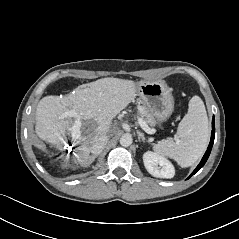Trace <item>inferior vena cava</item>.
<instances>
[{"label": "inferior vena cava", "mask_w": 239, "mask_h": 239, "mask_svg": "<svg viewBox=\"0 0 239 239\" xmlns=\"http://www.w3.org/2000/svg\"><path fill=\"white\" fill-rule=\"evenodd\" d=\"M107 142H108L107 135H101L97 137L94 148L97 150L98 153H101Z\"/></svg>", "instance_id": "inferior-vena-cava-1"}]
</instances>
